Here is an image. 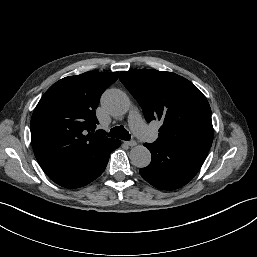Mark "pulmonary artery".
Wrapping results in <instances>:
<instances>
[{
    "label": "pulmonary artery",
    "instance_id": "pulmonary-artery-1",
    "mask_svg": "<svg viewBox=\"0 0 257 257\" xmlns=\"http://www.w3.org/2000/svg\"><path fill=\"white\" fill-rule=\"evenodd\" d=\"M129 125L132 130L137 134L150 133L149 129L145 125L141 114L137 109H132L128 116Z\"/></svg>",
    "mask_w": 257,
    "mask_h": 257
}]
</instances>
